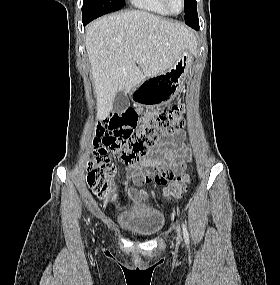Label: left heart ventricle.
I'll return each instance as SVG.
<instances>
[{"label": "left heart ventricle", "instance_id": "left-heart-ventricle-1", "mask_svg": "<svg viewBox=\"0 0 280 285\" xmlns=\"http://www.w3.org/2000/svg\"><path fill=\"white\" fill-rule=\"evenodd\" d=\"M169 4L171 9L174 12H179L182 8V1L181 0H169Z\"/></svg>", "mask_w": 280, "mask_h": 285}]
</instances>
